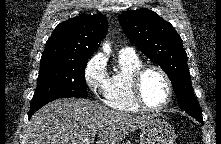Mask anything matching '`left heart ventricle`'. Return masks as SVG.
<instances>
[{"mask_svg": "<svg viewBox=\"0 0 221 144\" xmlns=\"http://www.w3.org/2000/svg\"><path fill=\"white\" fill-rule=\"evenodd\" d=\"M142 95L150 107H158L165 102L168 87L159 72L151 70L146 73L142 81Z\"/></svg>", "mask_w": 221, "mask_h": 144, "instance_id": "obj_1", "label": "left heart ventricle"}]
</instances>
